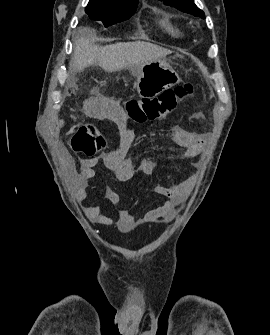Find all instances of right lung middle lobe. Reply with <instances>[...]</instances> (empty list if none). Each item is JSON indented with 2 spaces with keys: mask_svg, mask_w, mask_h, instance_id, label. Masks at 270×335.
Segmentation results:
<instances>
[{
  "mask_svg": "<svg viewBox=\"0 0 270 335\" xmlns=\"http://www.w3.org/2000/svg\"><path fill=\"white\" fill-rule=\"evenodd\" d=\"M137 4L104 7L89 2L85 12L92 20L102 21L105 27L129 19L136 11Z\"/></svg>",
  "mask_w": 270,
  "mask_h": 335,
  "instance_id": "1",
  "label": "right lung middle lobe"
}]
</instances>
